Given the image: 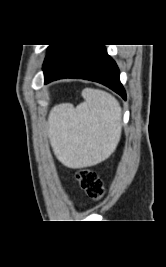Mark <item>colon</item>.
I'll return each mask as SVG.
<instances>
[{"label":"colon","instance_id":"obj_1","mask_svg":"<svg viewBox=\"0 0 166 267\" xmlns=\"http://www.w3.org/2000/svg\"><path fill=\"white\" fill-rule=\"evenodd\" d=\"M76 180L91 200L98 201L104 196V185L95 171L81 169L76 174Z\"/></svg>","mask_w":166,"mask_h":267}]
</instances>
